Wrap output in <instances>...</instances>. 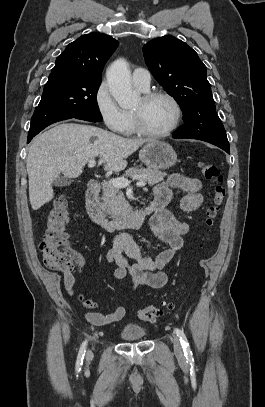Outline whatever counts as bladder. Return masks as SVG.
Wrapping results in <instances>:
<instances>
[{
	"label": "bladder",
	"mask_w": 265,
	"mask_h": 407,
	"mask_svg": "<svg viewBox=\"0 0 265 407\" xmlns=\"http://www.w3.org/2000/svg\"><path fill=\"white\" fill-rule=\"evenodd\" d=\"M120 336L123 340L128 342L139 341L146 336V330L136 324H126L122 328Z\"/></svg>",
	"instance_id": "1"
}]
</instances>
